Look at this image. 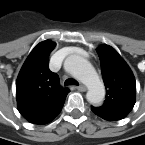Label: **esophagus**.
<instances>
[{"mask_svg":"<svg viewBox=\"0 0 145 145\" xmlns=\"http://www.w3.org/2000/svg\"><path fill=\"white\" fill-rule=\"evenodd\" d=\"M77 89L81 92H85L87 90V88L84 85L77 86Z\"/></svg>","mask_w":145,"mask_h":145,"instance_id":"1","label":"esophagus"}]
</instances>
